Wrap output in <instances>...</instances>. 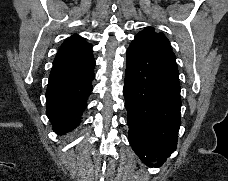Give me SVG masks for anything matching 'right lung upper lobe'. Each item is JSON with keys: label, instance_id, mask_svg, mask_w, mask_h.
Here are the masks:
<instances>
[{"label": "right lung upper lobe", "instance_id": "cb5924a9", "mask_svg": "<svg viewBox=\"0 0 228 181\" xmlns=\"http://www.w3.org/2000/svg\"><path fill=\"white\" fill-rule=\"evenodd\" d=\"M89 46L91 45L87 43L83 38H81L80 36L74 35L71 38L65 40V42L62 44L61 48L59 49L55 59L70 55L74 52H77Z\"/></svg>", "mask_w": 228, "mask_h": 181}]
</instances>
